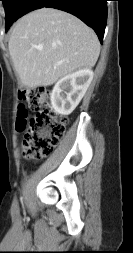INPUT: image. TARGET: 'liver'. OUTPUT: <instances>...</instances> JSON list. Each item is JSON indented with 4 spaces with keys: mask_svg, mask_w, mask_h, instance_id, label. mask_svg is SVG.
Wrapping results in <instances>:
<instances>
[{
    "mask_svg": "<svg viewBox=\"0 0 133 253\" xmlns=\"http://www.w3.org/2000/svg\"><path fill=\"white\" fill-rule=\"evenodd\" d=\"M9 53L21 83L49 86L82 68H92L100 53L95 32L77 17L52 8L33 11L14 25ZM43 47L38 51L37 47Z\"/></svg>",
    "mask_w": 133,
    "mask_h": 253,
    "instance_id": "6515ba94",
    "label": "liver"
}]
</instances>
